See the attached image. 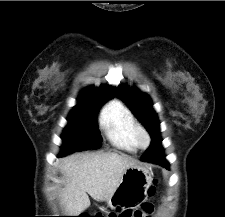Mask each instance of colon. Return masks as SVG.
Here are the masks:
<instances>
[{
	"mask_svg": "<svg viewBox=\"0 0 225 217\" xmlns=\"http://www.w3.org/2000/svg\"><path fill=\"white\" fill-rule=\"evenodd\" d=\"M154 192V189L153 187H149L147 190H146V194L147 195H152ZM112 214L113 213H109L108 215H103V214H97L96 216H93V217H112Z\"/></svg>",
	"mask_w": 225,
	"mask_h": 217,
	"instance_id": "obj_1",
	"label": "colon"
}]
</instances>
